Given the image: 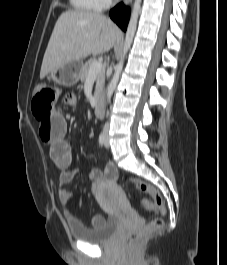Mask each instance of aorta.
Returning a JSON list of instances; mask_svg holds the SVG:
<instances>
[{"mask_svg":"<svg viewBox=\"0 0 227 265\" xmlns=\"http://www.w3.org/2000/svg\"><path fill=\"white\" fill-rule=\"evenodd\" d=\"M140 9H141V0H135L133 8H132V12H131L130 21H129L127 31H126L123 52H122L119 63L115 67L114 75L107 87L106 98H107L108 103L111 101V97L119 81L126 54L132 45L133 38H134L136 29H137V22H138V17L140 14Z\"/></svg>","mask_w":227,"mask_h":265,"instance_id":"1","label":"aorta"}]
</instances>
